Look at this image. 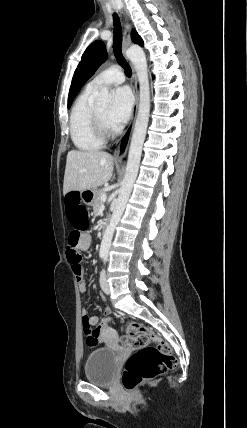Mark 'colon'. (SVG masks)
<instances>
[{"mask_svg":"<svg viewBox=\"0 0 247 428\" xmlns=\"http://www.w3.org/2000/svg\"><path fill=\"white\" fill-rule=\"evenodd\" d=\"M64 217H66V228L71 229L69 236V251L81 260L77 250V244L81 232H88L90 217H86V203L76 193H69L63 199ZM103 316L95 329H92L88 319H83V330L88 347L94 348L100 344L102 333L110 328V316L113 311L103 308L100 311ZM154 343L155 345H151ZM122 344L136 351L126 361L122 374V383L128 391L135 390L142 383L152 380L166 371L176 367L177 359L169 344L160 339L151 329L143 324L132 322L127 325ZM105 345V342H102Z\"/></svg>","mask_w":247,"mask_h":428,"instance_id":"1","label":"colon"}]
</instances>
